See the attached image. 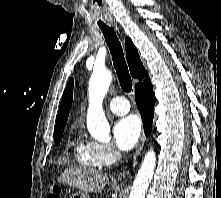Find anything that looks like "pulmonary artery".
Listing matches in <instances>:
<instances>
[{
  "mask_svg": "<svg viewBox=\"0 0 221 198\" xmlns=\"http://www.w3.org/2000/svg\"><path fill=\"white\" fill-rule=\"evenodd\" d=\"M110 110L117 115H125L130 110V104L123 96L113 97L109 101Z\"/></svg>",
  "mask_w": 221,
  "mask_h": 198,
  "instance_id": "obj_1",
  "label": "pulmonary artery"
}]
</instances>
